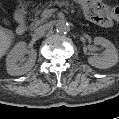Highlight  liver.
<instances>
[{"label": "liver", "instance_id": "1", "mask_svg": "<svg viewBox=\"0 0 119 119\" xmlns=\"http://www.w3.org/2000/svg\"><path fill=\"white\" fill-rule=\"evenodd\" d=\"M11 41V34L3 27H0V59L6 54V52L10 48Z\"/></svg>", "mask_w": 119, "mask_h": 119}]
</instances>
